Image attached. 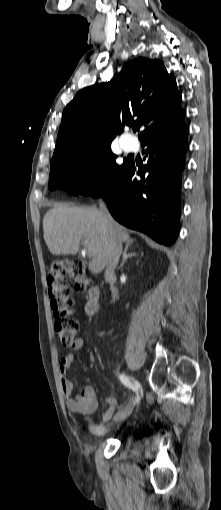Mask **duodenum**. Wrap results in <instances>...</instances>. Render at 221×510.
<instances>
[{"label": "duodenum", "instance_id": "duodenum-1", "mask_svg": "<svg viewBox=\"0 0 221 510\" xmlns=\"http://www.w3.org/2000/svg\"><path fill=\"white\" fill-rule=\"evenodd\" d=\"M99 290L96 287H92L88 293V300L85 304V311L88 315H92L98 308Z\"/></svg>", "mask_w": 221, "mask_h": 510}]
</instances>
